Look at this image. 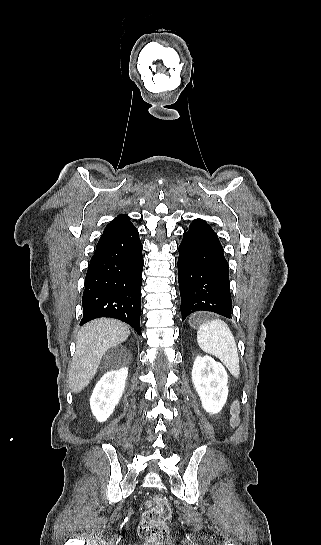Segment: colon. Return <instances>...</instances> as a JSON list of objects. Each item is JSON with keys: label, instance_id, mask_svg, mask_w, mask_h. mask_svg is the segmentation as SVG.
I'll list each match as a JSON object with an SVG mask.
<instances>
[{"label": "colon", "instance_id": "obj_1", "mask_svg": "<svg viewBox=\"0 0 321 545\" xmlns=\"http://www.w3.org/2000/svg\"><path fill=\"white\" fill-rule=\"evenodd\" d=\"M234 415L238 412V405L233 409ZM171 516L168 501L162 496L153 497L146 505L139 525V532L143 538L153 545H163L168 538L167 520Z\"/></svg>", "mask_w": 321, "mask_h": 545}]
</instances>
